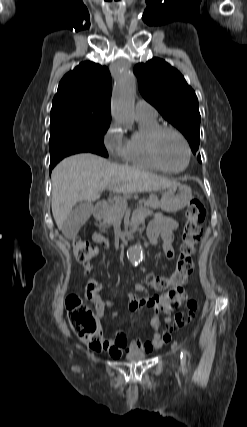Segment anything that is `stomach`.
<instances>
[{
	"instance_id": "stomach-1",
	"label": "stomach",
	"mask_w": 247,
	"mask_h": 427,
	"mask_svg": "<svg viewBox=\"0 0 247 427\" xmlns=\"http://www.w3.org/2000/svg\"><path fill=\"white\" fill-rule=\"evenodd\" d=\"M192 197V190L189 186L176 183L162 192L160 207L166 212H177L185 208Z\"/></svg>"
}]
</instances>
